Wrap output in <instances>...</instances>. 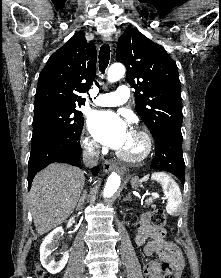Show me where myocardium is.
Masks as SVG:
<instances>
[{
  "label": "myocardium",
  "mask_w": 221,
  "mask_h": 278,
  "mask_svg": "<svg viewBox=\"0 0 221 278\" xmlns=\"http://www.w3.org/2000/svg\"><path fill=\"white\" fill-rule=\"evenodd\" d=\"M131 134L137 135L142 139L143 142L142 152L137 156H130L119 150L116 152V154L121 160L125 162L133 163V164L141 163L151 155L153 149L152 138L148 132L141 129H133L131 131Z\"/></svg>",
  "instance_id": "1"
}]
</instances>
